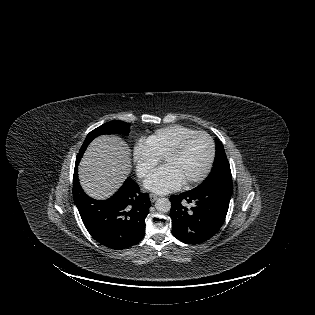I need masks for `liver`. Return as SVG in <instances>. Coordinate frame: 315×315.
I'll list each match as a JSON object with an SVG mask.
<instances>
[{
	"label": "liver",
	"instance_id": "6515ba94",
	"mask_svg": "<svg viewBox=\"0 0 315 315\" xmlns=\"http://www.w3.org/2000/svg\"><path fill=\"white\" fill-rule=\"evenodd\" d=\"M131 150L117 136H100L86 151L79 179L84 191L96 199L111 196L131 171Z\"/></svg>",
	"mask_w": 315,
	"mask_h": 315
}]
</instances>
